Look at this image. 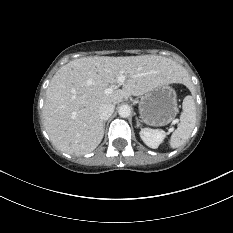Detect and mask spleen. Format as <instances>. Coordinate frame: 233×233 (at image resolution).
I'll use <instances>...</instances> for the list:
<instances>
[{"mask_svg": "<svg viewBox=\"0 0 233 233\" xmlns=\"http://www.w3.org/2000/svg\"><path fill=\"white\" fill-rule=\"evenodd\" d=\"M180 123L170 138V147L175 149L182 146L190 137L196 123V107L193 96H186L182 104Z\"/></svg>", "mask_w": 233, "mask_h": 233, "instance_id": "1", "label": "spleen"}]
</instances>
